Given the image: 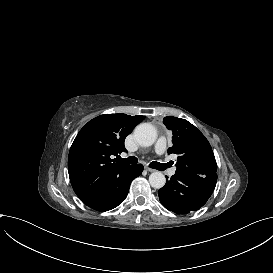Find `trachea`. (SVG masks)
<instances>
[{
  "instance_id": "1",
  "label": "trachea",
  "mask_w": 273,
  "mask_h": 273,
  "mask_svg": "<svg viewBox=\"0 0 273 273\" xmlns=\"http://www.w3.org/2000/svg\"><path fill=\"white\" fill-rule=\"evenodd\" d=\"M123 162L127 163V164H137L138 163V159L135 157V156H131V157H128V158H125V159H121ZM168 166V164L164 165L162 163H158V162H151L149 164V167L150 168H153V169H157L159 171H162L163 169H165L166 167Z\"/></svg>"
}]
</instances>
